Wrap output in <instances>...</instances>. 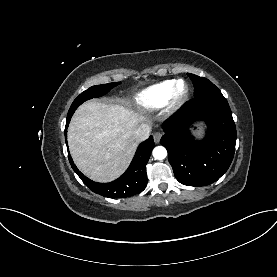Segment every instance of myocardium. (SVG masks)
<instances>
[{
  "instance_id": "obj_1",
  "label": "myocardium",
  "mask_w": 277,
  "mask_h": 277,
  "mask_svg": "<svg viewBox=\"0 0 277 277\" xmlns=\"http://www.w3.org/2000/svg\"><path fill=\"white\" fill-rule=\"evenodd\" d=\"M188 96V84L182 79L177 80L168 101L170 108L177 109L181 107L187 101Z\"/></svg>"
}]
</instances>
